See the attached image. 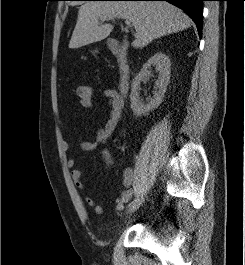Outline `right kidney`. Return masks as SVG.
Returning a JSON list of instances; mask_svg holds the SVG:
<instances>
[{"label": "right kidney", "mask_w": 245, "mask_h": 265, "mask_svg": "<svg viewBox=\"0 0 245 265\" xmlns=\"http://www.w3.org/2000/svg\"><path fill=\"white\" fill-rule=\"evenodd\" d=\"M155 67L159 73L158 80L155 82L156 88L153 98L147 103H144L139 96L140 81L145 77L151 76V67ZM170 59L164 53L158 52L154 54L142 67L140 72L132 81L131 84V109L136 117L146 115L150 111L157 108L164 97L170 79Z\"/></svg>", "instance_id": "ca27d5eb"}]
</instances>
